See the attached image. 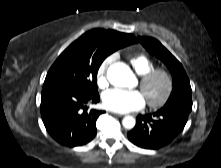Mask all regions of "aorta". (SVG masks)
<instances>
[{
    "mask_svg": "<svg viewBox=\"0 0 221 168\" xmlns=\"http://www.w3.org/2000/svg\"><path fill=\"white\" fill-rule=\"evenodd\" d=\"M107 78L114 86L127 87L132 82L133 72L127 64L117 62L108 68ZM135 123L136 120L132 116H125L122 120L123 127L126 129H132L135 126Z\"/></svg>",
    "mask_w": 221,
    "mask_h": 168,
    "instance_id": "1",
    "label": "aorta"
}]
</instances>
